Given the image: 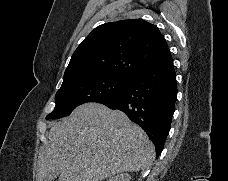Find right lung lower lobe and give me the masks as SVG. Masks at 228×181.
<instances>
[{
  "label": "right lung lower lobe",
  "instance_id": "obj_1",
  "mask_svg": "<svg viewBox=\"0 0 228 181\" xmlns=\"http://www.w3.org/2000/svg\"><path fill=\"white\" fill-rule=\"evenodd\" d=\"M176 96V74L170 55L137 72L118 96L102 104L123 111L140 125L155 145L158 158L170 130Z\"/></svg>",
  "mask_w": 228,
  "mask_h": 181
}]
</instances>
